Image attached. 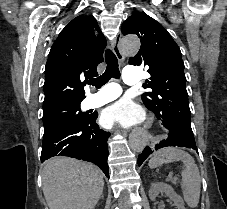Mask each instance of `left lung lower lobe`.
Instances as JSON below:
<instances>
[{
	"label": "left lung lower lobe",
	"instance_id": "1",
	"mask_svg": "<svg viewBox=\"0 0 227 209\" xmlns=\"http://www.w3.org/2000/svg\"><path fill=\"white\" fill-rule=\"evenodd\" d=\"M161 121L163 125L170 131L169 137L166 140L161 141L159 144H156L154 147L155 150L168 146H178L192 148L198 153L193 132L191 130L178 126L175 123L168 122L166 120ZM152 152V148L146 147L138 156V165L140 166Z\"/></svg>",
	"mask_w": 227,
	"mask_h": 209
}]
</instances>
